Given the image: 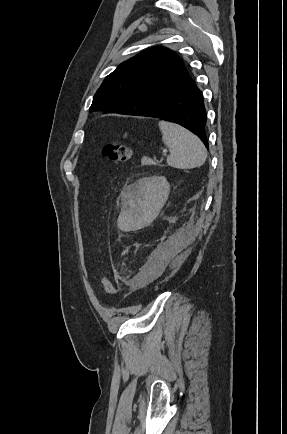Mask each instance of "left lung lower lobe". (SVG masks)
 Segmentation results:
<instances>
[{"label":"left lung lower lobe","mask_w":287,"mask_h":434,"mask_svg":"<svg viewBox=\"0 0 287 434\" xmlns=\"http://www.w3.org/2000/svg\"><path fill=\"white\" fill-rule=\"evenodd\" d=\"M135 115L180 124L197 135L208 148L203 95L190 76L156 104L140 110Z\"/></svg>","instance_id":"obj_1"}]
</instances>
